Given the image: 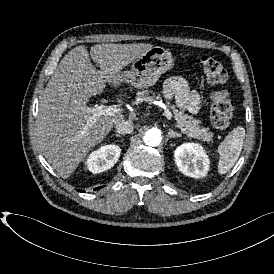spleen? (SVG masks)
I'll list each match as a JSON object with an SVG mask.
<instances>
[{
    "label": "spleen",
    "instance_id": "obj_1",
    "mask_svg": "<svg viewBox=\"0 0 274 274\" xmlns=\"http://www.w3.org/2000/svg\"><path fill=\"white\" fill-rule=\"evenodd\" d=\"M245 139V129L241 126L234 128L218 147L220 159L219 174L227 173L238 160Z\"/></svg>",
    "mask_w": 274,
    "mask_h": 274
}]
</instances>
